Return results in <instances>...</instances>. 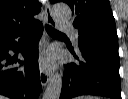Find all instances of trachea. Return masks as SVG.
Instances as JSON below:
<instances>
[{"mask_svg":"<svg viewBox=\"0 0 128 99\" xmlns=\"http://www.w3.org/2000/svg\"><path fill=\"white\" fill-rule=\"evenodd\" d=\"M45 29H46V31H47V33H48L49 35H65V34L59 32L58 30L54 29V28H53L52 26H50V25H45Z\"/></svg>","mask_w":128,"mask_h":99,"instance_id":"obj_1","label":"trachea"}]
</instances>
